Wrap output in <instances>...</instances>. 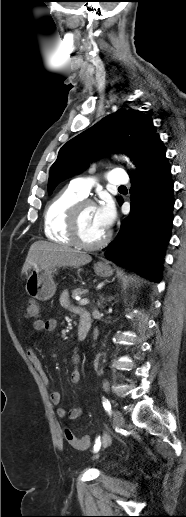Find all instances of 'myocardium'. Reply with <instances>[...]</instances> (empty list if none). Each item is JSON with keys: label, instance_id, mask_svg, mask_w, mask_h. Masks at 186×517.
<instances>
[{"label": "myocardium", "instance_id": "myocardium-1", "mask_svg": "<svg viewBox=\"0 0 186 517\" xmlns=\"http://www.w3.org/2000/svg\"><path fill=\"white\" fill-rule=\"evenodd\" d=\"M86 206H95V202L83 198L73 205L69 213L68 226L73 243L81 248L92 250L104 246L110 239L111 234L107 231L102 238L95 242H87L83 239L80 232V217L83 208Z\"/></svg>", "mask_w": 186, "mask_h": 517}]
</instances>
